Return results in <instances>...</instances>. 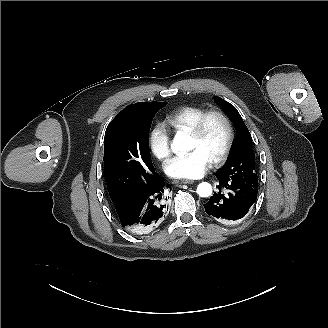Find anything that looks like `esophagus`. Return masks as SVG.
Instances as JSON below:
<instances>
[{"instance_id":"1","label":"esophagus","mask_w":328,"mask_h":328,"mask_svg":"<svg viewBox=\"0 0 328 328\" xmlns=\"http://www.w3.org/2000/svg\"><path fill=\"white\" fill-rule=\"evenodd\" d=\"M176 183L177 184H192V183H194V180L181 178V179L176 180Z\"/></svg>"}]
</instances>
